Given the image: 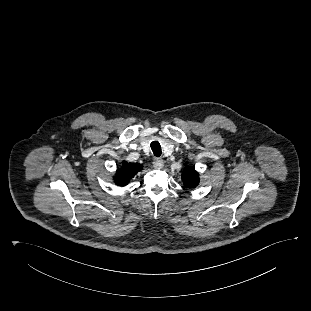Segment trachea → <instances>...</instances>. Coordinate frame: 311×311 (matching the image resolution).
I'll use <instances>...</instances> for the list:
<instances>
[{
  "label": "trachea",
  "instance_id": "obj_1",
  "mask_svg": "<svg viewBox=\"0 0 311 311\" xmlns=\"http://www.w3.org/2000/svg\"><path fill=\"white\" fill-rule=\"evenodd\" d=\"M150 146H151V149L153 151V154L156 157H159L161 155V153H162L160 143L157 142V141H153Z\"/></svg>",
  "mask_w": 311,
  "mask_h": 311
}]
</instances>
